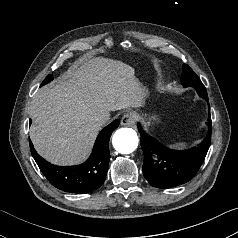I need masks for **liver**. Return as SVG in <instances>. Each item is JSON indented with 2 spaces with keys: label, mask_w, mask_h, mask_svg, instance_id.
I'll return each mask as SVG.
<instances>
[{
  "label": "liver",
  "mask_w": 238,
  "mask_h": 238,
  "mask_svg": "<svg viewBox=\"0 0 238 238\" xmlns=\"http://www.w3.org/2000/svg\"><path fill=\"white\" fill-rule=\"evenodd\" d=\"M144 90L135 70L121 61L99 57L73 66L32 99L30 138L36 151L56 165L80 163L100 129L97 118L140 107Z\"/></svg>",
  "instance_id": "obj_1"
}]
</instances>
